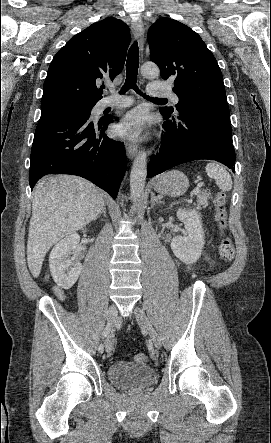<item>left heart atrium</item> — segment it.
<instances>
[{"label":"left heart atrium","instance_id":"1","mask_svg":"<svg viewBox=\"0 0 271 443\" xmlns=\"http://www.w3.org/2000/svg\"><path fill=\"white\" fill-rule=\"evenodd\" d=\"M146 125V113L143 110L134 109L120 119L115 127V134L126 140L139 141Z\"/></svg>","mask_w":271,"mask_h":443}]
</instances>
